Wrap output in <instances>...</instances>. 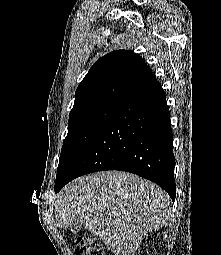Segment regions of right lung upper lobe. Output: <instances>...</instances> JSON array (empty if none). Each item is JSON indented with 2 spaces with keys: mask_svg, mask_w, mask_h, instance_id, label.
<instances>
[{
  "mask_svg": "<svg viewBox=\"0 0 221 255\" xmlns=\"http://www.w3.org/2000/svg\"><path fill=\"white\" fill-rule=\"evenodd\" d=\"M156 81L140 56L113 51L97 60L81 81L70 115L104 105L120 106Z\"/></svg>",
  "mask_w": 221,
  "mask_h": 255,
  "instance_id": "cb5924a9",
  "label": "right lung upper lobe"
}]
</instances>
